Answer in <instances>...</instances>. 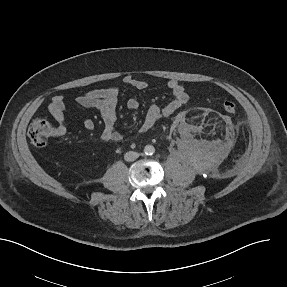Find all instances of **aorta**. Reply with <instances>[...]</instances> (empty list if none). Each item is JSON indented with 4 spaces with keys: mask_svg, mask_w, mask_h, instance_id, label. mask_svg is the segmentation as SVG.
I'll return each mask as SVG.
<instances>
[{
    "mask_svg": "<svg viewBox=\"0 0 287 287\" xmlns=\"http://www.w3.org/2000/svg\"><path fill=\"white\" fill-rule=\"evenodd\" d=\"M155 152V148L152 145H146L144 148V153L146 155H152Z\"/></svg>",
    "mask_w": 287,
    "mask_h": 287,
    "instance_id": "obj_1",
    "label": "aorta"
}]
</instances>
